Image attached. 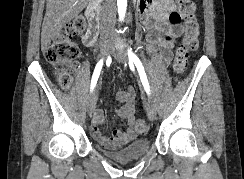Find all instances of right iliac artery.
Segmentation results:
<instances>
[{"instance_id":"1","label":"right iliac artery","mask_w":244,"mask_h":179,"mask_svg":"<svg viewBox=\"0 0 244 179\" xmlns=\"http://www.w3.org/2000/svg\"><path fill=\"white\" fill-rule=\"evenodd\" d=\"M102 66H103V59H101L96 67H95V70H94V73L92 75V79H91V91L94 89V87L96 86V83H97V80L99 78V75H100V72H101V69H102Z\"/></svg>"}]
</instances>
